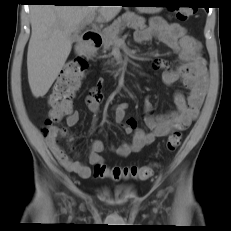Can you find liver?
Here are the masks:
<instances>
[{
  "mask_svg": "<svg viewBox=\"0 0 231 231\" xmlns=\"http://www.w3.org/2000/svg\"><path fill=\"white\" fill-rule=\"evenodd\" d=\"M120 7L34 5L30 8L32 33L27 69L35 98L44 96L58 77L72 49V34L79 31L83 22L96 12L98 20L110 21Z\"/></svg>",
  "mask_w": 231,
  "mask_h": 231,
  "instance_id": "obj_1",
  "label": "liver"
}]
</instances>
